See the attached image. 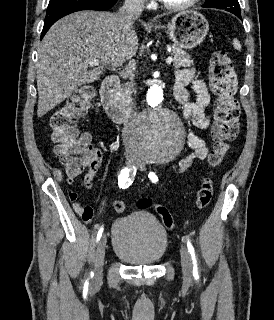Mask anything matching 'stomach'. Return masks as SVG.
I'll use <instances>...</instances> for the list:
<instances>
[{"instance_id": "stomach-1", "label": "stomach", "mask_w": 274, "mask_h": 320, "mask_svg": "<svg viewBox=\"0 0 274 320\" xmlns=\"http://www.w3.org/2000/svg\"><path fill=\"white\" fill-rule=\"evenodd\" d=\"M166 30L174 46L182 50H193L205 40L209 32V24L205 16L194 10H188V12L175 14L168 22Z\"/></svg>"}]
</instances>
